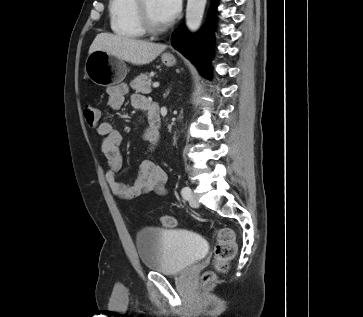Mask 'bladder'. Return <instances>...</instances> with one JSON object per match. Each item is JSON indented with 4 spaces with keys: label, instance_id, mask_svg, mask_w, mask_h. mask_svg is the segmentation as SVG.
Returning a JSON list of instances; mask_svg holds the SVG:
<instances>
[{
    "label": "bladder",
    "instance_id": "bladder-1",
    "mask_svg": "<svg viewBox=\"0 0 363 317\" xmlns=\"http://www.w3.org/2000/svg\"><path fill=\"white\" fill-rule=\"evenodd\" d=\"M135 244L142 266L164 275L185 272L208 252L200 234L184 229L146 227L136 233Z\"/></svg>",
    "mask_w": 363,
    "mask_h": 317
}]
</instances>
